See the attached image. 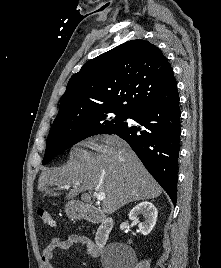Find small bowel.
<instances>
[{
	"label": "small bowel",
	"instance_id": "c3829d8e",
	"mask_svg": "<svg viewBox=\"0 0 221 268\" xmlns=\"http://www.w3.org/2000/svg\"><path fill=\"white\" fill-rule=\"evenodd\" d=\"M75 245L83 246L91 256H97L99 253L95 242L85 235L71 234L65 239L53 238L42 251L43 268H54L52 260L57 250H67Z\"/></svg>",
	"mask_w": 221,
	"mask_h": 268
}]
</instances>
